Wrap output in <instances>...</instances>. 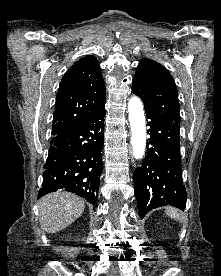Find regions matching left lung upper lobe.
Returning <instances> with one entry per match:
<instances>
[{"instance_id":"obj_1","label":"left lung upper lobe","mask_w":221,"mask_h":276,"mask_svg":"<svg viewBox=\"0 0 221 276\" xmlns=\"http://www.w3.org/2000/svg\"><path fill=\"white\" fill-rule=\"evenodd\" d=\"M132 91L143 100L147 115L180 124L176 85L161 64L150 59L141 60L132 82Z\"/></svg>"}]
</instances>
